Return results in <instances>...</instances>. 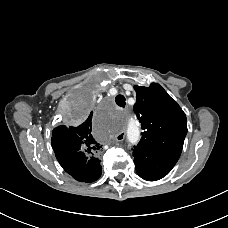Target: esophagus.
<instances>
[{"mask_svg": "<svg viewBox=\"0 0 228 228\" xmlns=\"http://www.w3.org/2000/svg\"><path fill=\"white\" fill-rule=\"evenodd\" d=\"M116 140L117 141H123L125 139V132H120L119 134L116 135Z\"/></svg>", "mask_w": 228, "mask_h": 228, "instance_id": "34e87169", "label": "esophagus"}]
</instances>
